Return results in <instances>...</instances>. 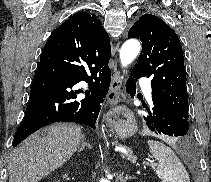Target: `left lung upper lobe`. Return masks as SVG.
<instances>
[{
    "label": "left lung upper lobe",
    "mask_w": 211,
    "mask_h": 182,
    "mask_svg": "<svg viewBox=\"0 0 211 182\" xmlns=\"http://www.w3.org/2000/svg\"><path fill=\"white\" fill-rule=\"evenodd\" d=\"M142 42L133 72L151 79L153 102L163 103L188 120V94L181 43L160 18L146 14L128 32Z\"/></svg>",
    "instance_id": "5c2ea615"
}]
</instances>
